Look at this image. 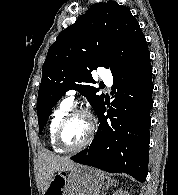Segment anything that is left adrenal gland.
<instances>
[{
    "instance_id": "1",
    "label": "left adrenal gland",
    "mask_w": 178,
    "mask_h": 195,
    "mask_svg": "<svg viewBox=\"0 0 178 195\" xmlns=\"http://www.w3.org/2000/svg\"><path fill=\"white\" fill-rule=\"evenodd\" d=\"M111 185L116 186V181L115 182L111 181ZM109 186H110V181H108V183L106 184L104 191H106L109 188ZM104 191L102 192V195H105Z\"/></svg>"
}]
</instances>
